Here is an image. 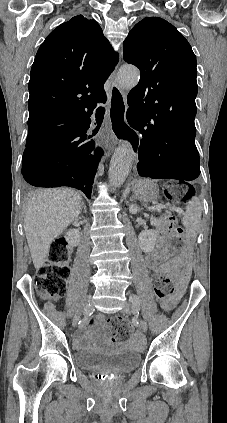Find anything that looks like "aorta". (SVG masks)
Masks as SVG:
<instances>
[{"mask_svg":"<svg viewBox=\"0 0 227 423\" xmlns=\"http://www.w3.org/2000/svg\"><path fill=\"white\" fill-rule=\"evenodd\" d=\"M117 81L121 87H135L139 81V71L133 66H123L117 74ZM133 150L129 143L125 142L118 147L110 161L109 182L114 187L121 186L128 176L132 163Z\"/></svg>","mask_w":227,"mask_h":423,"instance_id":"aorta-1","label":"aorta"}]
</instances>
